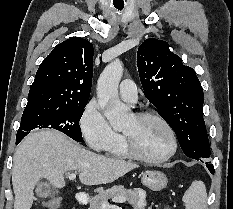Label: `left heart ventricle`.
I'll return each instance as SVG.
<instances>
[{
  "label": "left heart ventricle",
  "instance_id": "obj_1",
  "mask_svg": "<svg viewBox=\"0 0 233 209\" xmlns=\"http://www.w3.org/2000/svg\"><path fill=\"white\" fill-rule=\"evenodd\" d=\"M123 132L132 138L137 149L147 157H161L170 149L169 134L155 119L138 120L133 116Z\"/></svg>",
  "mask_w": 233,
  "mask_h": 209
}]
</instances>
